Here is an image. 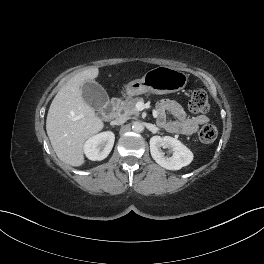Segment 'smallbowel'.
Masks as SVG:
<instances>
[{
	"instance_id": "obj_1",
	"label": "small bowel",
	"mask_w": 264,
	"mask_h": 264,
	"mask_svg": "<svg viewBox=\"0 0 264 264\" xmlns=\"http://www.w3.org/2000/svg\"><path fill=\"white\" fill-rule=\"evenodd\" d=\"M171 115L174 119H169ZM156 118L161 127L170 133L193 135L208 122L206 115L188 116L183 107L171 99H163L156 106Z\"/></svg>"
}]
</instances>
